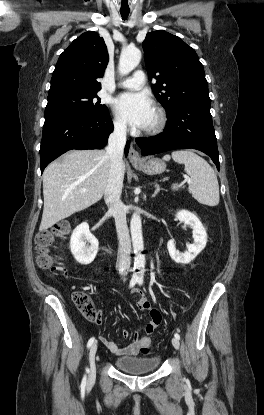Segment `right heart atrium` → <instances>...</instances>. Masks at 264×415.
I'll return each instance as SVG.
<instances>
[{
  "mask_svg": "<svg viewBox=\"0 0 264 415\" xmlns=\"http://www.w3.org/2000/svg\"><path fill=\"white\" fill-rule=\"evenodd\" d=\"M114 128L119 133L127 132V125L120 117L114 119Z\"/></svg>",
  "mask_w": 264,
  "mask_h": 415,
  "instance_id": "obj_1",
  "label": "right heart atrium"
}]
</instances>
